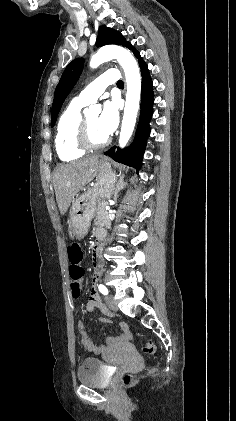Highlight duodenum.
Segmentation results:
<instances>
[{"label":"duodenum","instance_id":"obj_1","mask_svg":"<svg viewBox=\"0 0 236 421\" xmlns=\"http://www.w3.org/2000/svg\"><path fill=\"white\" fill-rule=\"evenodd\" d=\"M95 236L97 238V241L94 245V249H93V265L94 268L96 270V272L99 274L102 270V258H101V251L102 248L106 242V231L104 228L100 227L97 228L95 230ZM127 336V331H124V334L121 338H125ZM85 345L92 349V350H96V349H100L99 347H95L94 344L92 342H90L85 336L83 339Z\"/></svg>","mask_w":236,"mask_h":421}]
</instances>
